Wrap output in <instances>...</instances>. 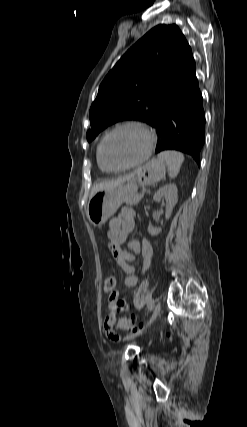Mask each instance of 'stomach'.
Wrapping results in <instances>:
<instances>
[{"mask_svg": "<svg viewBox=\"0 0 247 427\" xmlns=\"http://www.w3.org/2000/svg\"><path fill=\"white\" fill-rule=\"evenodd\" d=\"M166 163L152 159L137 169L135 175L125 183L111 189H103L90 197L87 204V217L90 223L99 227L103 225L121 206L136 193L139 185H151L165 177Z\"/></svg>", "mask_w": 247, "mask_h": 427, "instance_id": "0dacf381", "label": "stomach"}]
</instances>
